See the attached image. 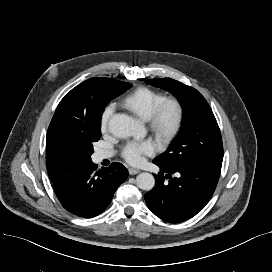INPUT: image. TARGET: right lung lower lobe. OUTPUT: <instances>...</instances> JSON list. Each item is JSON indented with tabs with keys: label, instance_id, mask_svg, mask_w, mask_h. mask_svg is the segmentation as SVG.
<instances>
[{
	"label": "right lung lower lobe",
	"instance_id": "right-lung-lower-lobe-1",
	"mask_svg": "<svg viewBox=\"0 0 272 272\" xmlns=\"http://www.w3.org/2000/svg\"><path fill=\"white\" fill-rule=\"evenodd\" d=\"M127 177L128 171L121 163L97 171L93 162L87 161L79 163L70 175L53 183V187L67 211L90 218L107 208Z\"/></svg>",
	"mask_w": 272,
	"mask_h": 272
}]
</instances>
